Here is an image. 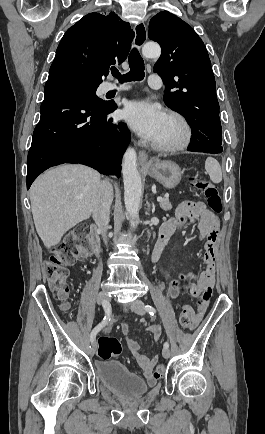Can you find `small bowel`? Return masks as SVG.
Listing matches in <instances>:
<instances>
[{
  "mask_svg": "<svg viewBox=\"0 0 265 434\" xmlns=\"http://www.w3.org/2000/svg\"><path fill=\"white\" fill-rule=\"evenodd\" d=\"M198 223V229L202 236H207L206 253L204 255L205 269L201 273L198 283L195 286L187 288L190 294L197 298L196 309L189 305H184L181 311L187 312L192 319L190 329L196 328L202 321L210 303L212 287L215 282V268H214V247L219 230V219L209 209L206 208L203 202L184 201L182 202L173 217L168 219L160 228L158 240L165 243L178 232L186 223ZM214 228L215 231L210 233V229ZM195 275L180 274L177 278L170 281L168 286V294L171 300H175L181 293L183 288L182 281L195 280ZM120 331L124 336L125 343L128 349L137 354L138 360L143 367L144 376L149 386H153L156 378L152 373V368L156 362L155 358H148L139 354L140 344L128 336L129 328L124 322L120 327ZM153 333V341L157 342L161 336V328L159 325L151 327Z\"/></svg>",
  "mask_w": 265,
  "mask_h": 434,
  "instance_id": "1",
  "label": "small bowel"
}]
</instances>
